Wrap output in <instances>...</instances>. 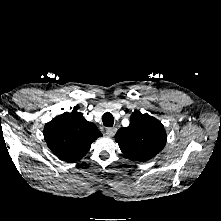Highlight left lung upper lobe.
Listing matches in <instances>:
<instances>
[{"mask_svg": "<svg viewBox=\"0 0 221 221\" xmlns=\"http://www.w3.org/2000/svg\"><path fill=\"white\" fill-rule=\"evenodd\" d=\"M115 140L126 157L132 161L144 162L163 149L167 135L159 120L134 111L129 126L119 129Z\"/></svg>", "mask_w": 221, "mask_h": 221, "instance_id": "left-lung-upper-lobe-1", "label": "left lung upper lobe"}]
</instances>
